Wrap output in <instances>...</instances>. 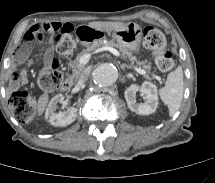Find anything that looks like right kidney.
<instances>
[{
	"instance_id": "obj_1",
	"label": "right kidney",
	"mask_w": 215,
	"mask_h": 183,
	"mask_svg": "<svg viewBox=\"0 0 215 183\" xmlns=\"http://www.w3.org/2000/svg\"><path fill=\"white\" fill-rule=\"evenodd\" d=\"M64 96L58 94L54 96L48 104V107L45 112V118L53 126L65 127L73 123L77 116V109L75 107H70L66 111L56 112L57 104L63 102Z\"/></svg>"
}]
</instances>
